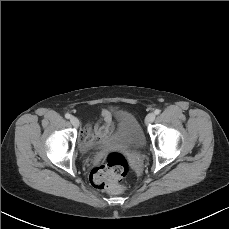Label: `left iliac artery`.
Wrapping results in <instances>:
<instances>
[{"label": "left iliac artery", "instance_id": "1", "mask_svg": "<svg viewBox=\"0 0 229 229\" xmlns=\"http://www.w3.org/2000/svg\"><path fill=\"white\" fill-rule=\"evenodd\" d=\"M160 110L159 109H156L155 111H154V113L156 114V115H158V114H160Z\"/></svg>", "mask_w": 229, "mask_h": 229}]
</instances>
